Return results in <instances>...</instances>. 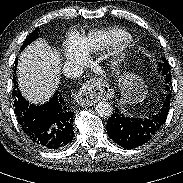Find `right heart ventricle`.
Here are the masks:
<instances>
[{
  "instance_id": "obj_1",
  "label": "right heart ventricle",
  "mask_w": 183,
  "mask_h": 183,
  "mask_svg": "<svg viewBox=\"0 0 183 183\" xmlns=\"http://www.w3.org/2000/svg\"><path fill=\"white\" fill-rule=\"evenodd\" d=\"M129 38V34L121 29L93 31L79 42V47L86 53L100 52L121 45Z\"/></svg>"
}]
</instances>
